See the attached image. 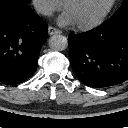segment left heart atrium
Masks as SVG:
<instances>
[{"label":"left heart atrium","instance_id":"left-heart-atrium-1","mask_svg":"<svg viewBox=\"0 0 128 128\" xmlns=\"http://www.w3.org/2000/svg\"><path fill=\"white\" fill-rule=\"evenodd\" d=\"M58 23L62 26H70L74 24L73 19L71 16L67 13L64 12L59 18H58Z\"/></svg>","mask_w":128,"mask_h":128}]
</instances>
